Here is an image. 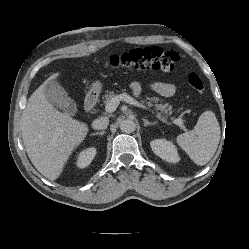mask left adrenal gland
Instances as JSON below:
<instances>
[{"mask_svg":"<svg viewBox=\"0 0 249 249\" xmlns=\"http://www.w3.org/2000/svg\"><path fill=\"white\" fill-rule=\"evenodd\" d=\"M143 120V122H144V126L146 127V126H149V125H155L156 124V122H149L147 119H145V118H143L142 119Z\"/></svg>","mask_w":249,"mask_h":249,"instance_id":"1","label":"left adrenal gland"}]
</instances>
